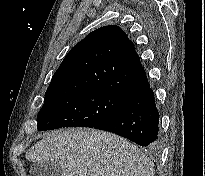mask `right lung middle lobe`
I'll use <instances>...</instances> for the list:
<instances>
[{
	"label": "right lung middle lobe",
	"instance_id": "obj_1",
	"mask_svg": "<svg viewBox=\"0 0 205 176\" xmlns=\"http://www.w3.org/2000/svg\"><path fill=\"white\" fill-rule=\"evenodd\" d=\"M125 100V97L101 90L45 96L38 113V130L94 128L110 118Z\"/></svg>",
	"mask_w": 205,
	"mask_h": 176
}]
</instances>
